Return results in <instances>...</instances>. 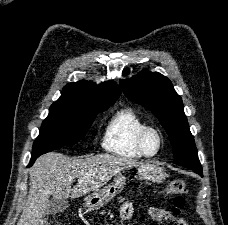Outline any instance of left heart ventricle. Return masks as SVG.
<instances>
[{"label": "left heart ventricle", "mask_w": 228, "mask_h": 225, "mask_svg": "<svg viewBox=\"0 0 228 225\" xmlns=\"http://www.w3.org/2000/svg\"><path fill=\"white\" fill-rule=\"evenodd\" d=\"M158 146V139L155 134H151L147 141V148L149 152H154Z\"/></svg>", "instance_id": "left-heart-ventricle-1"}]
</instances>
